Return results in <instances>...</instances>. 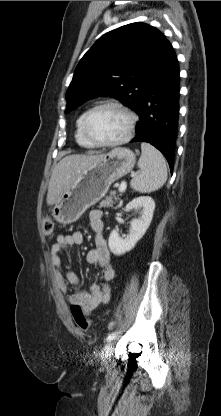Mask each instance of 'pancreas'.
Listing matches in <instances>:
<instances>
[{
  "instance_id": "obj_1",
  "label": "pancreas",
  "mask_w": 221,
  "mask_h": 416,
  "mask_svg": "<svg viewBox=\"0 0 221 416\" xmlns=\"http://www.w3.org/2000/svg\"><path fill=\"white\" fill-rule=\"evenodd\" d=\"M119 197L116 196V192L113 191L110 193L109 196H107L104 200H102L100 202L99 207L102 208H108V207H113V204H115V201L118 200Z\"/></svg>"
}]
</instances>
